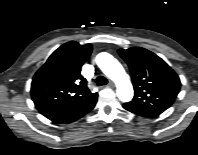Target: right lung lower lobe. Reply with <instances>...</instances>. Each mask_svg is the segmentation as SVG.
Segmentation results:
<instances>
[{
  "label": "right lung lower lobe",
  "instance_id": "obj_1",
  "mask_svg": "<svg viewBox=\"0 0 198 155\" xmlns=\"http://www.w3.org/2000/svg\"><path fill=\"white\" fill-rule=\"evenodd\" d=\"M96 100L91 101L89 104H87L86 106H84L83 108H81L79 111H77L76 113L62 118L60 120H57L55 122L57 123H69V122H73L78 120L79 118H81L82 116H84L86 113H88L90 110H92L96 104Z\"/></svg>",
  "mask_w": 198,
  "mask_h": 155
}]
</instances>
